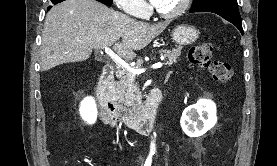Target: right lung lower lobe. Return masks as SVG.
Here are the masks:
<instances>
[{"mask_svg":"<svg viewBox=\"0 0 277 166\" xmlns=\"http://www.w3.org/2000/svg\"><path fill=\"white\" fill-rule=\"evenodd\" d=\"M64 0H51V2L53 3V4H58V3H60V2H63ZM97 1H99V2H101V3H103V4H105V5H111L112 4V1H108V0H97ZM52 6H49L48 7V10L51 8Z\"/></svg>","mask_w":277,"mask_h":166,"instance_id":"obj_1","label":"right lung lower lobe"}]
</instances>
